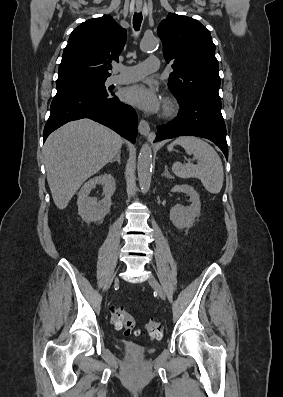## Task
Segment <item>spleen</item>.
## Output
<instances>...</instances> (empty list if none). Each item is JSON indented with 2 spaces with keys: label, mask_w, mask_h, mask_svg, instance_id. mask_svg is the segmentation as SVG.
<instances>
[{
  "label": "spleen",
  "mask_w": 283,
  "mask_h": 397,
  "mask_svg": "<svg viewBox=\"0 0 283 397\" xmlns=\"http://www.w3.org/2000/svg\"><path fill=\"white\" fill-rule=\"evenodd\" d=\"M181 145L187 154L193 155L198 163L182 164L175 162L172 171L179 178H198L205 189L218 194L223 186L224 172L222 161L214 148L204 140L194 136H183L173 141L171 146Z\"/></svg>",
  "instance_id": "3e777b00"
}]
</instances>
